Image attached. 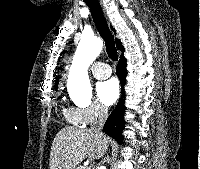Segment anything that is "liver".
I'll list each match as a JSON object with an SVG mask.
<instances>
[{"label":"liver","mask_w":200,"mask_h":169,"mask_svg":"<svg viewBox=\"0 0 200 169\" xmlns=\"http://www.w3.org/2000/svg\"><path fill=\"white\" fill-rule=\"evenodd\" d=\"M108 147V138L90 129L65 127L55 136L50 152V169H75L84 159H99Z\"/></svg>","instance_id":"liver-1"}]
</instances>
